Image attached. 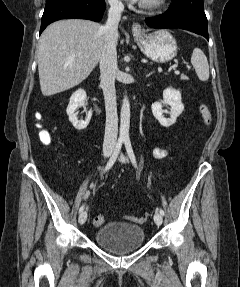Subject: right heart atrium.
Wrapping results in <instances>:
<instances>
[{"label":"right heart atrium","mask_w":240,"mask_h":287,"mask_svg":"<svg viewBox=\"0 0 240 287\" xmlns=\"http://www.w3.org/2000/svg\"><path fill=\"white\" fill-rule=\"evenodd\" d=\"M108 1V3L111 5V6H113V7H118V6H120V4H121V1L120 0H107Z\"/></svg>","instance_id":"obj_1"}]
</instances>
